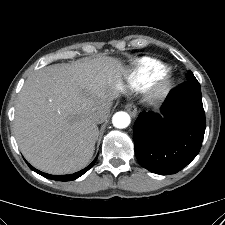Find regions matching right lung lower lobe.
<instances>
[{
  "instance_id": "98d812e1",
  "label": "right lung lower lobe",
  "mask_w": 225,
  "mask_h": 225,
  "mask_svg": "<svg viewBox=\"0 0 225 225\" xmlns=\"http://www.w3.org/2000/svg\"><path fill=\"white\" fill-rule=\"evenodd\" d=\"M97 157L95 158V160L89 164L86 168H84L83 170L76 172L74 174H70V175H50V174H46L43 173L37 169H35L34 167H32L29 163L28 166L35 172H37L38 174H40L41 176L48 178V179H52V180H58V181H71V180H75L78 177L82 176L84 173H86L95 163Z\"/></svg>"
}]
</instances>
